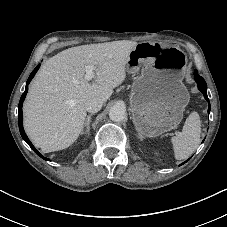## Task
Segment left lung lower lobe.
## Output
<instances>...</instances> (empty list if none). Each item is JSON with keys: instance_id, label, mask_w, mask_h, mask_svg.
Listing matches in <instances>:
<instances>
[{"instance_id": "left-lung-lower-lobe-1", "label": "left lung lower lobe", "mask_w": 227, "mask_h": 227, "mask_svg": "<svg viewBox=\"0 0 227 227\" xmlns=\"http://www.w3.org/2000/svg\"><path fill=\"white\" fill-rule=\"evenodd\" d=\"M195 81L198 85V89L203 93L205 99L208 101V113H209L210 112V102H209V99L207 96V85H206V82L204 81V79L198 75L197 70H195ZM185 162H187V161H185ZM184 163H182V164H184Z\"/></svg>"}]
</instances>
